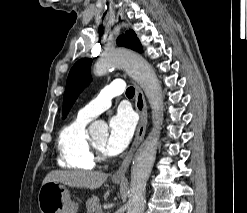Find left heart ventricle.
<instances>
[{
    "label": "left heart ventricle",
    "instance_id": "1",
    "mask_svg": "<svg viewBox=\"0 0 247 213\" xmlns=\"http://www.w3.org/2000/svg\"><path fill=\"white\" fill-rule=\"evenodd\" d=\"M93 142L103 151L106 153L105 151V143H106V140H107V135L104 134V135H101V136H98L96 138H93L92 139Z\"/></svg>",
    "mask_w": 247,
    "mask_h": 213
}]
</instances>
